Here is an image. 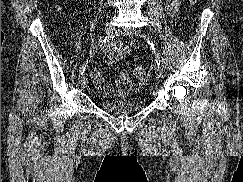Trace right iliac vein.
I'll use <instances>...</instances> for the list:
<instances>
[{"label": "right iliac vein", "mask_w": 243, "mask_h": 182, "mask_svg": "<svg viewBox=\"0 0 243 182\" xmlns=\"http://www.w3.org/2000/svg\"><path fill=\"white\" fill-rule=\"evenodd\" d=\"M105 31H106V34L108 35H111L114 33L115 31V27L112 23H107L106 26H105ZM79 82L80 84L83 86V87H86L87 85V76L85 74H83L80 79H79Z\"/></svg>", "instance_id": "right-iliac-vein-1"}]
</instances>
